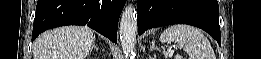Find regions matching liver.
Returning a JSON list of instances; mask_svg holds the SVG:
<instances>
[{"label": "liver", "instance_id": "1", "mask_svg": "<svg viewBox=\"0 0 261 59\" xmlns=\"http://www.w3.org/2000/svg\"><path fill=\"white\" fill-rule=\"evenodd\" d=\"M95 37L87 26H64L38 36L34 43V59H85L92 50Z\"/></svg>", "mask_w": 261, "mask_h": 59}]
</instances>
